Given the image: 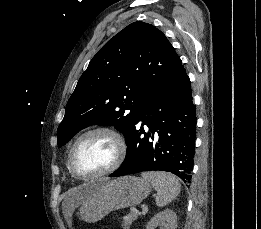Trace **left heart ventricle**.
<instances>
[{"label":"left heart ventricle","instance_id":"left-heart-ventricle-1","mask_svg":"<svg viewBox=\"0 0 261 229\" xmlns=\"http://www.w3.org/2000/svg\"><path fill=\"white\" fill-rule=\"evenodd\" d=\"M116 157V147L111 138L95 134L86 138L76 149L74 166L83 173H95L110 167Z\"/></svg>","mask_w":261,"mask_h":229}]
</instances>
